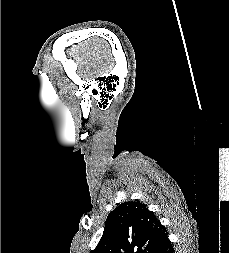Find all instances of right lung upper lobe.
<instances>
[{
	"label": "right lung upper lobe",
	"instance_id": "cb5924a9",
	"mask_svg": "<svg viewBox=\"0 0 229 253\" xmlns=\"http://www.w3.org/2000/svg\"><path fill=\"white\" fill-rule=\"evenodd\" d=\"M168 241L167 230L146 205L124 202L109 213L91 253H156Z\"/></svg>",
	"mask_w": 229,
	"mask_h": 253
}]
</instances>
